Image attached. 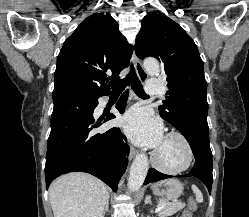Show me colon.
Listing matches in <instances>:
<instances>
[{
    "label": "colon",
    "mask_w": 249,
    "mask_h": 217,
    "mask_svg": "<svg viewBox=\"0 0 249 217\" xmlns=\"http://www.w3.org/2000/svg\"><path fill=\"white\" fill-rule=\"evenodd\" d=\"M195 209H196L195 200L193 198H191L188 202V206H187L186 210L183 213V217H192Z\"/></svg>",
    "instance_id": "5ec220e1"
}]
</instances>
